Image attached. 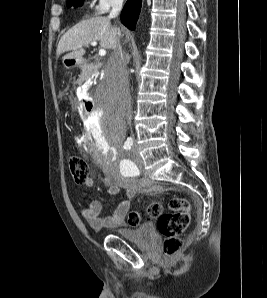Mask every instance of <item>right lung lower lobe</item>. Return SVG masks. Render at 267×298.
Returning a JSON list of instances; mask_svg holds the SVG:
<instances>
[{"label":"right lung lower lobe","instance_id":"98d812e1","mask_svg":"<svg viewBox=\"0 0 267 298\" xmlns=\"http://www.w3.org/2000/svg\"><path fill=\"white\" fill-rule=\"evenodd\" d=\"M142 0H128L121 13L122 23L129 29L134 30L140 14Z\"/></svg>","mask_w":267,"mask_h":298}]
</instances>
